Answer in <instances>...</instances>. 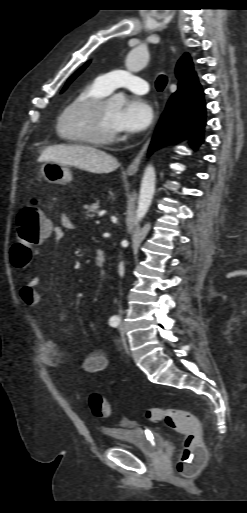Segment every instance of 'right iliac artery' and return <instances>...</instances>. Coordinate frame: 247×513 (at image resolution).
<instances>
[{
	"label": "right iliac artery",
	"mask_w": 247,
	"mask_h": 513,
	"mask_svg": "<svg viewBox=\"0 0 247 513\" xmlns=\"http://www.w3.org/2000/svg\"><path fill=\"white\" fill-rule=\"evenodd\" d=\"M109 324H110L112 327H117V326L119 325V319H117V318H112V319H110Z\"/></svg>",
	"instance_id": "1"
}]
</instances>
